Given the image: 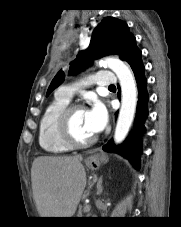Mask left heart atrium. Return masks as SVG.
<instances>
[{"instance_id": "39dd6f15", "label": "left heart atrium", "mask_w": 181, "mask_h": 227, "mask_svg": "<svg viewBox=\"0 0 181 227\" xmlns=\"http://www.w3.org/2000/svg\"><path fill=\"white\" fill-rule=\"evenodd\" d=\"M87 121L94 133L100 132L107 122L105 107L101 103H95L91 109L87 110Z\"/></svg>"}]
</instances>
